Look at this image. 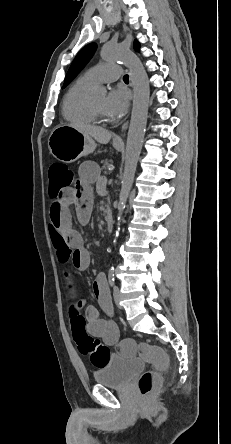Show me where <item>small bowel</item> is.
Segmentation results:
<instances>
[{
  "label": "small bowel",
  "mask_w": 231,
  "mask_h": 444,
  "mask_svg": "<svg viewBox=\"0 0 231 444\" xmlns=\"http://www.w3.org/2000/svg\"><path fill=\"white\" fill-rule=\"evenodd\" d=\"M94 182L97 183L98 191L103 194L105 182L100 177L97 165L90 161L82 163L74 187L66 189L58 202L52 201L49 209V233L58 260L81 271L88 268L90 253L84 247L81 234L72 227L70 207H75L80 223L85 224L89 221L93 200L91 185ZM63 278L68 296L74 301L73 306L84 313L87 332L101 338L107 345H114L119 340L117 324L113 320L101 318L95 306L86 305L82 300L76 299L77 289L68 269L63 270ZM93 289L102 307L110 309V295L103 276L96 279Z\"/></svg>",
  "instance_id": "c3829d8e"
}]
</instances>
